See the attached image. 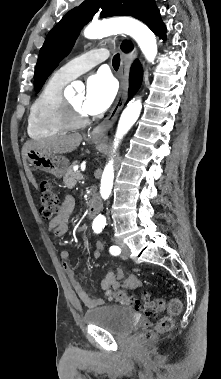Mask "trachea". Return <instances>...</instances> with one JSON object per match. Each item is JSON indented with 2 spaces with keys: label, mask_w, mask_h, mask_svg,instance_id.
Returning <instances> with one entry per match:
<instances>
[{
  "label": "trachea",
  "mask_w": 221,
  "mask_h": 379,
  "mask_svg": "<svg viewBox=\"0 0 221 379\" xmlns=\"http://www.w3.org/2000/svg\"><path fill=\"white\" fill-rule=\"evenodd\" d=\"M112 64H113V67H114L115 69H118V68H119V65H120V55H119V54H116V55L113 57Z\"/></svg>",
  "instance_id": "trachea-1"
}]
</instances>
